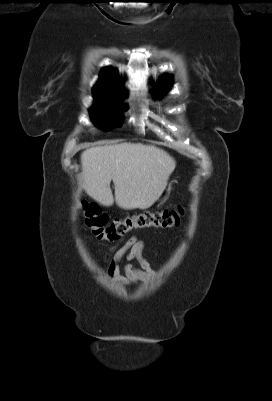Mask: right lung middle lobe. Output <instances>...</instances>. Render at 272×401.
<instances>
[{"label":"right lung middle lobe","instance_id":"obj_1","mask_svg":"<svg viewBox=\"0 0 272 401\" xmlns=\"http://www.w3.org/2000/svg\"><path fill=\"white\" fill-rule=\"evenodd\" d=\"M120 97L95 100L93 108L90 109L91 118L95 124L100 125L104 130L112 127H120L123 117L120 112L123 111L119 103ZM117 117L119 121L114 120Z\"/></svg>","mask_w":272,"mask_h":401}]
</instances>
